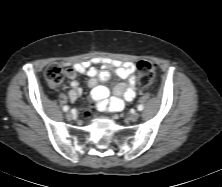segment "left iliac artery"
Here are the masks:
<instances>
[{"mask_svg": "<svg viewBox=\"0 0 222 187\" xmlns=\"http://www.w3.org/2000/svg\"><path fill=\"white\" fill-rule=\"evenodd\" d=\"M137 109H138L139 111H142V110L144 109V107H143V105H138Z\"/></svg>", "mask_w": 222, "mask_h": 187, "instance_id": "left-iliac-artery-1", "label": "left iliac artery"}]
</instances>
